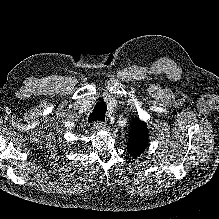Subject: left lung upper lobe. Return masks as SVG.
Instances as JSON below:
<instances>
[{
  "label": "left lung upper lobe",
  "mask_w": 219,
  "mask_h": 219,
  "mask_svg": "<svg viewBox=\"0 0 219 219\" xmlns=\"http://www.w3.org/2000/svg\"><path fill=\"white\" fill-rule=\"evenodd\" d=\"M148 137L145 123L134 118L132 120L130 136L127 144L128 152L133 156L140 155L147 147Z\"/></svg>",
  "instance_id": "5c2ea615"
}]
</instances>
